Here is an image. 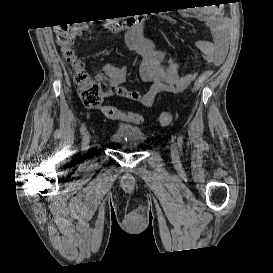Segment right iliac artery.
<instances>
[{
  "mask_svg": "<svg viewBox=\"0 0 273 273\" xmlns=\"http://www.w3.org/2000/svg\"><path fill=\"white\" fill-rule=\"evenodd\" d=\"M85 130H86L85 124H82L81 127H80L81 135L84 134Z\"/></svg>",
  "mask_w": 273,
  "mask_h": 273,
  "instance_id": "82829eb1",
  "label": "right iliac artery"
}]
</instances>
